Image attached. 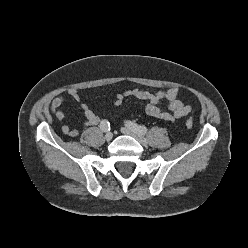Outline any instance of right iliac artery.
Segmentation results:
<instances>
[{
  "instance_id": "82829eb1",
  "label": "right iliac artery",
  "mask_w": 248,
  "mask_h": 248,
  "mask_svg": "<svg viewBox=\"0 0 248 248\" xmlns=\"http://www.w3.org/2000/svg\"><path fill=\"white\" fill-rule=\"evenodd\" d=\"M100 129L103 132H107L110 130V123L107 120H102V122L100 123Z\"/></svg>"
}]
</instances>
